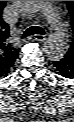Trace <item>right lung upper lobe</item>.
I'll use <instances>...</instances> for the list:
<instances>
[{
  "label": "right lung upper lobe",
  "mask_w": 74,
  "mask_h": 122,
  "mask_svg": "<svg viewBox=\"0 0 74 122\" xmlns=\"http://www.w3.org/2000/svg\"><path fill=\"white\" fill-rule=\"evenodd\" d=\"M6 1H0V77L7 76L18 57V50L10 43L9 26L2 19Z\"/></svg>",
  "instance_id": "cb5924a9"
}]
</instances>
